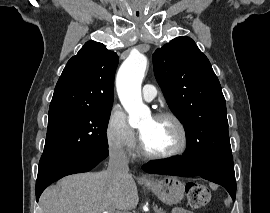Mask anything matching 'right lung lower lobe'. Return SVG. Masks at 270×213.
<instances>
[{"label":"right lung lower lobe","mask_w":270,"mask_h":213,"mask_svg":"<svg viewBox=\"0 0 270 213\" xmlns=\"http://www.w3.org/2000/svg\"><path fill=\"white\" fill-rule=\"evenodd\" d=\"M108 156V149H99L81 155H67L40 159L36 181V199L38 201L43 190L60 178L88 172Z\"/></svg>","instance_id":"obj_1"}]
</instances>
